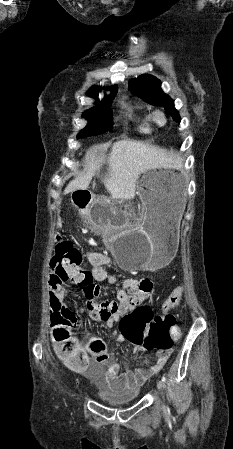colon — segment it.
I'll return each instance as SVG.
<instances>
[{"label": "colon", "mask_w": 233, "mask_h": 449, "mask_svg": "<svg viewBox=\"0 0 233 449\" xmlns=\"http://www.w3.org/2000/svg\"><path fill=\"white\" fill-rule=\"evenodd\" d=\"M52 262L63 276L67 269L74 268L78 279H72L73 283L83 288L89 302H94L95 299L91 297V292L95 286L91 283L89 270L76 247L70 242L58 238ZM173 288V291L162 303L161 314L154 315L153 310L143 305L123 316L119 324L120 338H126L127 343H137L138 349L169 352L174 342L181 335L179 328L176 326V319L170 314V311L178 306L186 287L182 283H177ZM51 323L53 339L59 343L57 348L59 357L70 367L82 369L85 366V361L75 351L74 345L70 341L71 328L76 323L75 314L68 310L54 311L51 316ZM92 351L99 359H104L107 356V349L103 341H95L92 344Z\"/></svg>", "instance_id": "5ec220e1"}]
</instances>
